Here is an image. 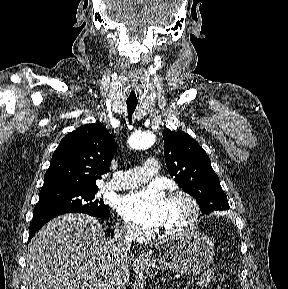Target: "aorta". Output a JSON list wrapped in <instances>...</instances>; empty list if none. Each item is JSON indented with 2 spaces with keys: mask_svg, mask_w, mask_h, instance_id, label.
Segmentation results:
<instances>
[{
  "mask_svg": "<svg viewBox=\"0 0 288 289\" xmlns=\"http://www.w3.org/2000/svg\"><path fill=\"white\" fill-rule=\"evenodd\" d=\"M154 140V135L151 132H135L129 138L128 143L132 149H143L152 146Z\"/></svg>",
  "mask_w": 288,
  "mask_h": 289,
  "instance_id": "762f6f07",
  "label": "aorta"
}]
</instances>
